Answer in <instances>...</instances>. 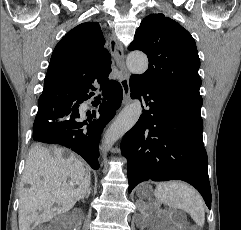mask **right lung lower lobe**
Returning <instances> with one entry per match:
<instances>
[{
  "instance_id": "1",
  "label": "right lung lower lobe",
  "mask_w": 241,
  "mask_h": 230,
  "mask_svg": "<svg viewBox=\"0 0 241 230\" xmlns=\"http://www.w3.org/2000/svg\"><path fill=\"white\" fill-rule=\"evenodd\" d=\"M90 96L53 105L50 101H38V112L33 125V139L43 143L60 144L81 155L95 170L99 168V142L107 123L119 109L123 93L121 85L114 81L102 88L99 114L82 119L79 105Z\"/></svg>"
}]
</instances>
